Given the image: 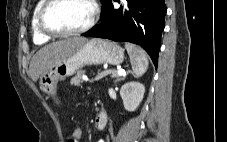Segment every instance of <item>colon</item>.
Masks as SVG:
<instances>
[{
  "label": "colon",
  "mask_w": 227,
  "mask_h": 142,
  "mask_svg": "<svg viewBox=\"0 0 227 142\" xmlns=\"http://www.w3.org/2000/svg\"><path fill=\"white\" fill-rule=\"evenodd\" d=\"M83 136V130L81 126L76 125L70 135V141L71 142H81Z\"/></svg>",
  "instance_id": "colon-1"
}]
</instances>
